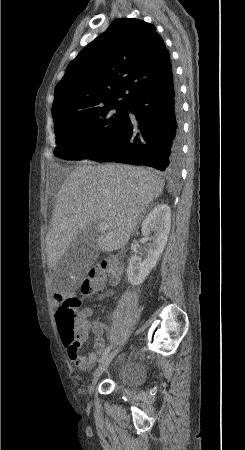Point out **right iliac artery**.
<instances>
[{
	"instance_id": "obj_1",
	"label": "right iliac artery",
	"mask_w": 245,
	"mask_h": 450,
	"mask_svg": "<svg viewBox=\"0 0 245 450\" xmlns=\"http://www.w3.org/2000/svg\"><path fill=\"white\" fill-rule=\"evenodd\" d=\"M112 349V345L108 346L102 354V359L108 355L110 350Z\"/></svg>"
}]
</instances>
